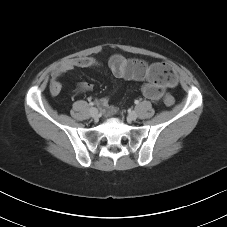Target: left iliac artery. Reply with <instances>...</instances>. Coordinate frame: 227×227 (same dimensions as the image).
Here are the masks:
<instances>
[{
    "label": "left iliac artery",
    "instance_id": "44dca946",
    "mask_svg": "<svg viewBox=\"0 0 227 227\" xmlns=\"http://www.w3.org/2000/svg\"><path fill=\"white\" fill-rule=\"evenodd\" d=\"M136 105H138L139 104V101L138 100H135V102H134Z\"/></svg>",
    "mask_w": 227,
    "mask_h": 227
}]
</instances>
